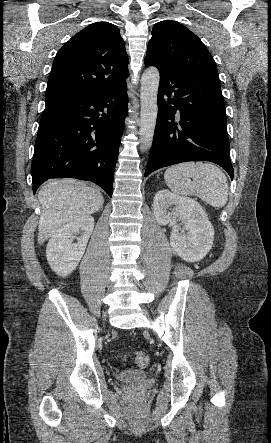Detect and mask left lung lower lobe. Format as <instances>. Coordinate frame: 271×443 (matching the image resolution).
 Instances as JSON below:
<instances>
[{"mask_svg": "<svg viewBox=\"0 0 271 443\" xmlns=\"http://www.w3.org/2000/svg\"><path fill=\"white\" fill-rule=\"evenodd\" d=\"M145 65L160 71L158 116L145 177L162 167L204 160L220 165L233 179L219 77L150 57Z\"/></svg>", "mask_w": 271, "mask_h": 443, "instance_id": "0a47b994", "label": "left lung lower lobe"}]
</instances>
